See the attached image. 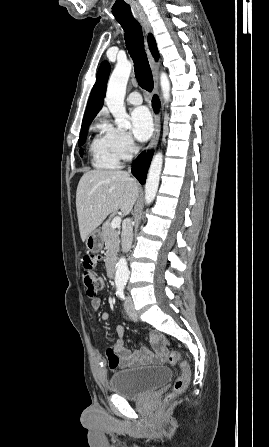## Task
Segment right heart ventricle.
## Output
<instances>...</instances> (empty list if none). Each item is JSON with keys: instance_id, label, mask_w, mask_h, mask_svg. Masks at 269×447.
I'll return each instance as SVG.
<instances>
[{"instance_id": "right-heart-ventricle-1", "label": "right heart ventricle", "mask_w": 269, "mask_h": 447, "mask_svg": "<svg viewBox=\"0 0 269 447\" xmlns=\"http://www.w3.org/2000/svg\"><path fill=\"white\" fill-rule=\"evenodd\" d=\"M92 165L96 168H116L120 164V156L117 154L111 135L102 131L92 141L90 147Z\"/></svg>"}]
</instances>
